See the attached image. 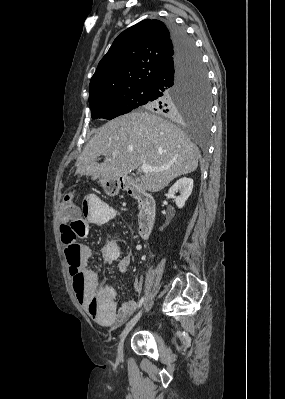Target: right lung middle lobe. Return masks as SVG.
Segmentation results:
<instances>
[{
    "instance_id": "obj_1",
    "label": "right lung middle lobe",
    "mask_w": 285,
    "mask_h": 399,
    "mask_svg": "<svg viewBox=\"0 0 285 399\" xmlns=\"http://www.w3.org/2000/svg\"><path fill=\"white\" fill-rule=\"evenodd\" d=\"M164 100H171L173 109L170 112L164 106ZM89 104L93 119L111 120L139 106L167 114L181 113L186 110L188 112L195 111L207 119L210 115L211 94L206 69L196 50L195 57L185 70L181 80L165 97H155L151 93L150 87L136 88L89 100Z\"/></svg>"
}]
</instances>
